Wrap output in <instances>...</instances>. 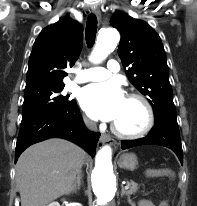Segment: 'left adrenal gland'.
Returning <instances> with one entry per match:
<instances>
[{"mask_svg": "<svg viewBox=\"0 0 197 206\" xmlns=\"http://www.w3.org/2000/svg\"><path fill=\"white\" fill-rule=\"evenodd\" d=\"M127 195L128 202L131 203L130 195L125 191L124 187L121 186V196Z\"/></svg>", "mask_w": 197, "mask_h": 206, "instance_id": "1", "label": "left adrenal gland"}]
</instances>
